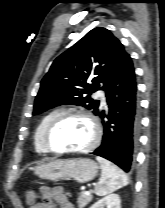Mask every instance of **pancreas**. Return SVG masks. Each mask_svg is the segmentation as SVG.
Returning a JSON list of instances; mask_svg holds the SVG:
<instances>
[{
	"instance_id": "obj_1",
	"label": "pancreas",
	"mask_w": 165,
	"mask_h": 208,
	"mask_svg": "<svg viewBox=\"0 0 165 208\" xmlns=\"http://www.w3.org/2000/svg\"><path fill=\"white\" fill-rule=\"evenodd\" d=\"M93 196L90 195H86L84 192L79 193V197L77 199V203L79 208H84L91 200H92Z\"/></svg>"
}]
</instances>
